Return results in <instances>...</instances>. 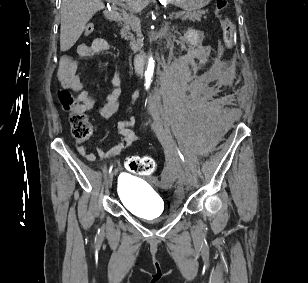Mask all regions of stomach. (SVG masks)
<instances>
[{"instance_id": "0dacf381", "label": "stomach", "mask_w": 308, "mask_h": 283, "mask_svg": "<svg viewBox=\"0 0 308 283\" xmlns=\"http://www.w3.org/2000/svg\"><path fill=\"white\" fill-rule=\"evenodd\" d=\"M169 3L176 5L187 11L200 9L210 3L211 0H167Z\"/></svg>"}]
</instances>
